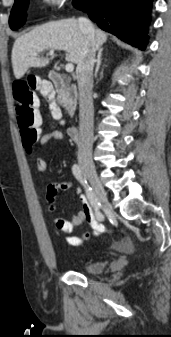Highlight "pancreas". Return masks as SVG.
<instances>
[{
	"mask_svg": "<svg viewBox=\"0 0 171 337\" xmlns=\"http://www.w3.org/2000/svg\"><path fill=\"white\" fill-rule=\"evenodd\" d=\"M58 102L69 112L70 115L74 113L76 105V95L72 96V89L67 88L58 93Z\"/></svg>",
	"mask_w": 171,
	"mask_h": 337,
	"instance_id": "1",
	"label": "pancreas"
}]
</instances>
